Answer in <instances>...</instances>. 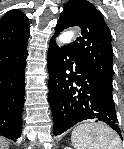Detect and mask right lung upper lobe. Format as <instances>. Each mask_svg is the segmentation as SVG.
<instances>
[{"instance_id":"obj_1","label":"right lung upper lobe","mask_w":124,"mask_h":149,"mask_svg":"<svg viewBox=\"0 0 124 149\" xmlns=\"http://www.w3.org/2000/svg\"><path fill=\"white\" fill-rule=\"evenodd\" d=\"M29 33L28 18L18 10H11L0 19V48L24 44Z\"/></svg>"}]
</instances>
